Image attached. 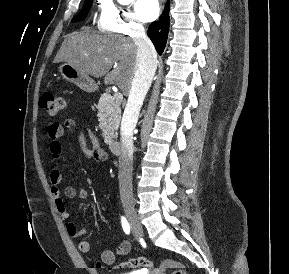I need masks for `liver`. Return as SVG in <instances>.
I'll return each mask as SVG.
<instances>
[{"label":"liver","mask_w":289,"mask_h":274,"mask_svg":"<svg viewBox=\"0 0 289 274\" xmlns=\"http://www.w3.org/2000/svg\"><path fill=\"white\" fill-rule=\"evenodd\" d=\"M137 46L119 35L74 32L63 41L54 63L67 62L106 84H116L127 95L136 70ZM113 64L116 67L111 71Z\"/></svg>","instance_id":"obj_1"}]
</instances>
